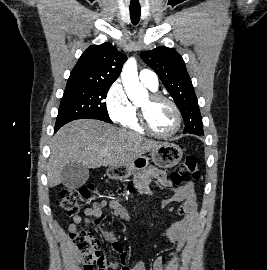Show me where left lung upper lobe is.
<instances>
[{
    "mask_svg": "<svg viewBox=\"0 0 267 270\" xmlns=\"http://www.w3.org/2000/svg\"><path fill=\"white\" fill-rule=\"evenodd\" d=\"M140 56L157 73L180 109L185 122L184 133L203 135L198 100L182 57L164 46L142 51Z\"/></svg>",
    "mask_w": 267,
    "mask_h": 270,
    "instance_id": "5c2ea615",
    "label": "left lung upper lobe"
}]
</instances>
